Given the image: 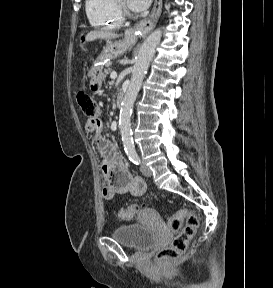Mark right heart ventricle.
<instances>
[{"mask_svg": "<svg viewBox=\"0 0 273 288\" xmlns=\"http://www.w3.org/2000/svg\"><path fill=\"white\" fill-rule=\"evenodd\" d=\"M85 9L93 27L100 29H118L123 17L116 0H86Z\"/></svg>", "mask_w": 273, "mask_h": 288, "instance_id": "obj_1", "label": "right heart ventricle"}]
</instances>
